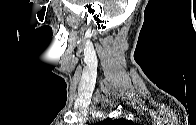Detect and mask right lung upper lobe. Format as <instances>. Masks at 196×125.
<instances>
[{
  "mask_svg": "<svg viewBox=\"0 0 196 125\" xmlns=\"http://www.w3.org/2000/svg\"><path fill=\"white\" fill-rule=\"evenodd\" d=\"M108 123H124V124H127L128 121L127 120H124V119H116V120H108L107 121Z\"/></svg>",
  "mask_w": 196,
  "mask_h": 125,
  "instance_id": "cb5924a9",
  "label": "right lung upper lobe"
}]
</instances>
